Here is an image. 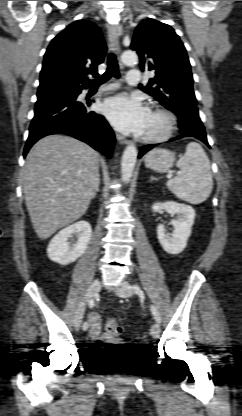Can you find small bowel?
Listing matches in <instances>:
<instances>
[{
	"label": "small bowel",
	"instance_id": "c3829d8e",
	"mask_svg": "<svg viewBox=\"0 0 242 416\" xmlns=\"http://www.w3.org/2000/svg\"><path fill=\"white\" fill-rule=\"evenodd\" d=\"M88 320L90 322L91 328L89 335L92 341L107 344L112 342V338L108 335L101 334L100 327V315L96 312H91L88 314Z\"/></svg>",
	"mask_w": 242,
	"mask_h": 416
}]
</instances>
